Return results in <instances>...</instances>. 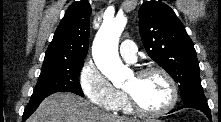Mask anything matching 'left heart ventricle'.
Listing matches in <instances>:
<instances>
[{
	"label": "left heart ventricle",
	"instance_id": "left-heart-ventricle-1",
	"mask_svg": "<svg viewBox=\"0 0 221 122\" xmlns=\"http://www.w3.org/2000/svg\"><path fill=\"white\" fill-rule=\"evenodd\" d=\"M138 103L148 110H159L170 100V89L166 80L157 73H151L141 78L132 76L125 86Z\"/></svg>",
	"mask_w": 221,
	"mask_h": 122
}]
</instances>
